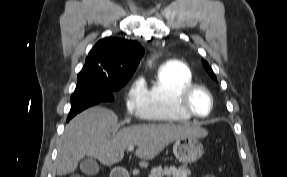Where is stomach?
I'll use <instances>...</instances> for the list:
<instances>
[{"mask_svg":"<svg viewBox=\"0 0 287 177\" xmlns=\"http://www.w3.org/2000/svg\"><path fill=\"white\" fill-rule=\"evenodd\" d=\"M204 148L198 137L186 136L177 139L173 145L175 157L182 163L196 162L203 154ZM120 169H114L112 174L116 175Z\"/></svg>","mask_w":287,"mask_h":177,"instance_id":"1","label":"stomach"}]
</instances>
